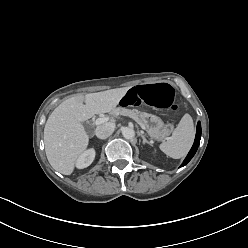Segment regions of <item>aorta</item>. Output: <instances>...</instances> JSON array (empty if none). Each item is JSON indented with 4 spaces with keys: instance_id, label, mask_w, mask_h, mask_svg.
Wrapping results in <instances>:
<instances>
[{
    "instance_id": "obj_1",
    "label": "aorta",
    "mask_w": 248,
    "mask_h": 248,
    "mask_svg": "<svg viewBox=\"0 0 248 248\" xmlns=\"http://www.w3.org/2000/svg\"><path fill=\"white\" fill-rule=\"evenodd\" d=\"M122 135L125 139H132L135 136V131L133 128L124 127L122 129Z\"/></svg>"
}]
</instances>
